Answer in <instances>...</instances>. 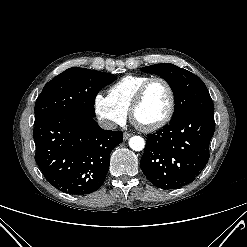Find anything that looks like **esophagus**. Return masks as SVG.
<instances>
[{"mask_svg": "<svg viewBox=\"0 0 247 247\" xmlns=\"http://www.w3.org/2000/svg\"><path fill=\"white\" fill-rule=\"evenodd\" d=\"M131 136H132L131 133H128V132H124V133H123V139H124V140H128Z\"/></svg>", "mask_w": 247, "mask_h": 247, "instance_id": "34e87169", "label": "esophagus"}]
</instances>
